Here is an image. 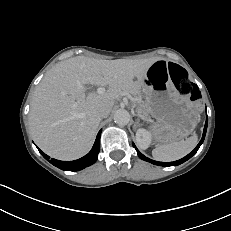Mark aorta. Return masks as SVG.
Here are the masks:
<instances>
[{
  "mask_svg": "<svg viewBox=\"0 0 231 231\" xmlns=\"http://www.w3.org/2000/svg\"><path fill=\"white\" fill-rule=\"evenodd\" d=\"M114 121L118 125H127L130 121V114L125 109H118L114 113Z\"/></svg>",
  "mask_w": 231,
  "mask_h": 231,
  "instance_id": "obj_1",
  "label": "aorta"
}]
</instances>
